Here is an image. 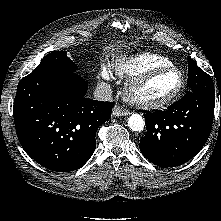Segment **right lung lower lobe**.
<instances>
[{
	"instance_id": "right-lung-lower-lobe-1",
	"label": "right lung lower lobe",
	"mask_w": 221,
	"mask_h": 221,
	"mask_svg": "<svg viewBox=\"0 0 221 221\" xmlns=\"http://www.w3.org/2000/svg\"><path fill=\"white\" fill-rule=\"evenodd\" d=\"M88 85L74 71L51 70L24 77L13 105L15 128L26 153L56 172L81 168L92 156L98 127L112 102L87 98Z\"/></svg>"
}]
</instances>
